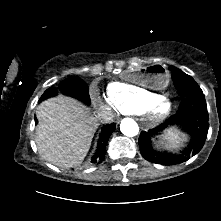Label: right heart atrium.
Listing matches in <instances>:
<instances>
[{"label": "right heart atrium", "instance_id": "obj_1", "mask_svg": "<svg viewBox=\"0 0 221 221\" xmlns=\"http://www.w3.org/2000/svg\"><path fill=\"white\" fill-rule=\"evenodd\" d=\"M104 102L108 105V106H113L112 103L110 102V100L108 99V97H103Z\"/></svg>", "mask_w": 221, "mask_h": 221}]
</instances>
